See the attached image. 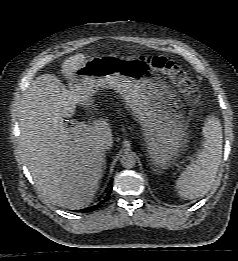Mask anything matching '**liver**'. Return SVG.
Instances as JSON below:
<instances>
[{
    "mask_svg": "<svg viewBox=\"0 0 238 261\" xmlns=\"http://www.w3.org/2000/svg\"><path fill=\"white\" fill-rule=\"evenodd\" d=\"M85 62L83 54L73 55L61 72L69 81ZM88 101L55 75L43 74L23 94L18 112L20 150L36 188L45 199L69 209L93 201L105 163L99 145L113 144L111 127L101 118L79 135L67 129L64 118L75 113L76 105L87 107Z\"/></svg>",
    "mask_w": 238,
    "mask_h": 261,
    "instance_id": "liver-1",
    "label": "liver"
}]
</instances>
